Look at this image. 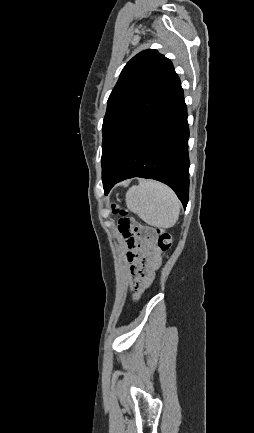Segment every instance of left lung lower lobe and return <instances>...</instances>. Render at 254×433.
Instances as JSON below:
<instances>
[{
	"label": "left lung lower lobe",
	"mask_w": 254,
	"mask_h": 433,
	"mask_svg": "<svg viewBox=\"0 0 254 433\" xmlns=\"http://www.w3.org/2000/svg\"><path fill=\"white\" fill-rule=\"evenodd\" d=\"M189 128L179 78L137 132L123 160L103 183L105 195L116 183L142 177L170 186L186 208L189 195Z\"/></svg>",
	"instance_id": "1"
}]
</instances>
